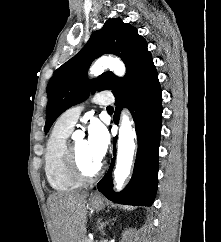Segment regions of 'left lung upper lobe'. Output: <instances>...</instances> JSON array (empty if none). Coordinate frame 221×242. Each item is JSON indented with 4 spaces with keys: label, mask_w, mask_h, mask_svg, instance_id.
<instances>
[{
    "label": "left lung upper lobe",
    "mask_w": 221,
    "mask_h": 242,
    "mask_svg": "<svg viewBox=\"0 0 221 242\" xmlns=\"http://www.w3.org/2000/svg\"><path fill=\"white\" fill-rule=\"evenodd\" d=\"M106 53L122 58L127 69L125 77L119 78L108 71L90 84L87 71L91 62ZM152 65L147 42L137 29L121 19L107 20L102 29L92 33L83 49L60 66L50 79L47 85L45 132L65 110L84 101L90 91L110 89L116 93Z\"/></svg>",
    "instance_id": "5c2ea615"
}]
</instances>
